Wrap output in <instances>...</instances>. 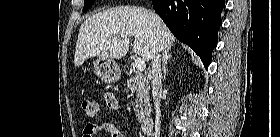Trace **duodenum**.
Here are the masks:
<instances>
[{
    "instance_id": "duodenum-1",
    "label": "duodenum",
    "mask_w": 280,
    "mask_h": 137,
    "mask_svg": "<svg viewBox=\"0 0 280 137\" xmlns=\"http://www.w3.org/2000/svg\"><path fill=\"white\" fill-rule=\"evenodd\" d=\"M154 120L152 118H147L143 121L141 125V130L146 133L150 134L153 131Z\"/></svg>"
}]
</instances>
